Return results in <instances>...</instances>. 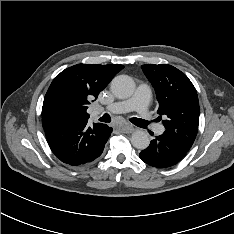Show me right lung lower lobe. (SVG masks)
Segmentation results:
<instances>
[{
  "mask_svg": "<svg viewBox=\"0 0 234 234\" xmlns=\"http://www.w3.org/2000/svg\"><path fill=\"white\" fill-rule=\"evenodd\" d=\"M87 122L88 119L71 120L44 128L52 152L63 163L83 165L102 154L112 128L100 123L89 127Z\"/></svg>",
  "mask_w": 234,
  "mask_h": 234,
  "instance_id": "98d812e1",
  "label": "right lung lower lobe"
}]
</instances>
